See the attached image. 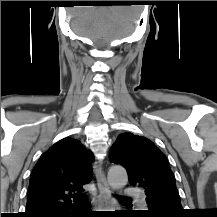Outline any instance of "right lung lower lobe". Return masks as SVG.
Wrapping results in <instances>:
<instances>
[{"mask_svg":"<svg viewBox=\"0 0 217 217\" xmlns=\"http://www.w3.org/2000/svg\"><path fill=\"white\" fill-rule=\"evenodd\" d=\"M78 209V208H77ZM84 214L82 211H77V212H65L59 215H56L55 217H83Z\"/></svg>","mask_w":217,"mask_h":217,"instance_id":"obj_1","label":"right lung lower lobe"}]
</instances>
